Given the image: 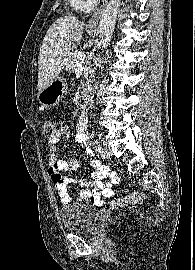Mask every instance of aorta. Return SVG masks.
Returning a JSON list of instances; mask_svg holds the SVG:
<instances>
[{
  "label": "aorta",
  "instance_id": "obj_1",
  "mask_svg": "<svg viewBox=\"0 0 195 270\" xmlns=\"http://www.w3.org/2000/svg\"><path fill=\"white\" fill-rule=\"evenodd\" d=\"M120 3L121 0H110L101 16L98 31H99L100 45L102 49H106L109 42L111 41ZM97 87H98L97 83H95L91 88V97L89 98V105L91 107L94 104V93Z\"/></svg>",
  "mask_w": 195,
  "mask_h": 270
}]
</instances>
